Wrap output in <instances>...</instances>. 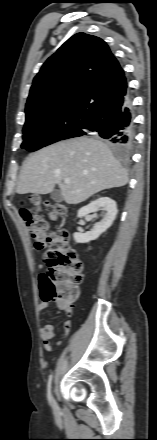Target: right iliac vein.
Returning a JSON list of instances; mask_svg holds the SVG:
<instances>
[{"instance_id":"obj_1","label":"right iliac vein","mask_w":157,"mask_h":440,"mask_svg":"<svg viewBox=\"0 0 157 440\" xmlns=\"http://www.w3.org/2000/svg\"><path fill=\"white\" fill-rule=\"evenodd\" d=\"M53 407H54L55 410H57V403H56L55 400H53Z\"/></svg>"}]
</instances>
